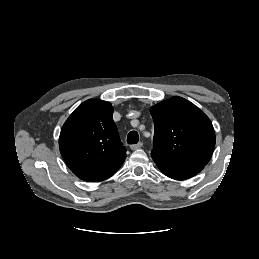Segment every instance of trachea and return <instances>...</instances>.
<instances>
[{
	"label": "trachea",
	"mask_w": 259,
	"mask_h": 259,
	"mask_svg": "<svg viewBox=\"0 0 259 259\" xmlns=\"http://www.w3.org/2000/svg\"><path fill=\"white\" fill-rule=\"evenodd\" d=\"M139 140V135L136 131H131L127 135V143L128 144H137Z\"/></svg>",
	"instance_id": "1"
}]
</instances>
